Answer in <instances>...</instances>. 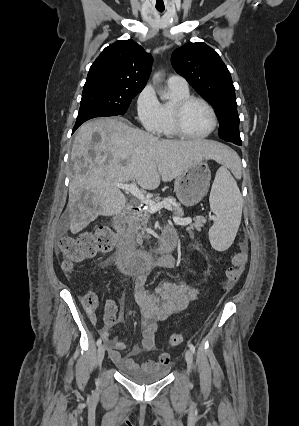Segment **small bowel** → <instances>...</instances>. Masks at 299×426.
<instances>
[{"label": "small bowel", "mask_w": 299, "mask_h": 426, "mask_svg": "<svg viewBox=\"0 0 299 426\" xmlns=\"http://www.w3.org/2000/svg\"><path fill=\"white\" fill-rule=\"evenodd\" d=\"M175 267V258L172 255L164 254L156 258L149 266L134 274L133 293L140 308L142 347H133L125 357L121 356L120 351L127 348L126 342L110 337L111 330L114 327L123 325V319L118 313L115 301L107 300L103 317L104 325L99 329V334L108 345L109 356L117 367L134 369L168 365L169 355L166 352H160L155 361L138 363L136 358L142 352L157 350V323L183 311L198 294V289L191 286L186 280H181L178 283L162 281L154 291H149L146 288L149 274L154 268L171 269ZM91 319L94 321L93 315Z\"/></svg>", "instance_id": "obj_1"}]
</instances>
